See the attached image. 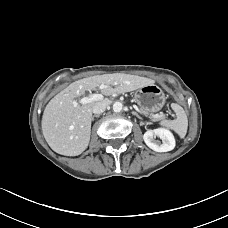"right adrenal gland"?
<instances>
[{
    "instance_id": "1",
    "label": "right adrenal gland",
    "mask_w": 228,
    "mask_h": 228,
    "mask_svg": "<svg viewBox=\"0 0 228 228\" xmlns=\"http://www.w3.org/2000/svg\"><path fill=\"white\" fill-rule=\"evenodd\" d=\"M100 115H93L92 116V121L94 120L95 117H99Z\"/></svg>"
}]
</instances>
